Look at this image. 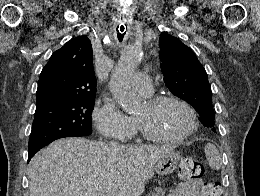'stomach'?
<instances>
[{"mask_svg":"<svg viewBox=\"0 0 260 196\" xmlns=\"http://www.w3.org/2000/svg\"><path fill=\"white\" fill-rule=\"evenodd\" d=\"M180 154L179 152H169V154H165L162 158H159L158 162L155 164V170L159 176H168V174H172L175 168H177V164L179 162Z\"/></svg>","mask_w":260,"mask_h":196,"instance_id":"obj_1","label":"stomach"}]
</instances>
